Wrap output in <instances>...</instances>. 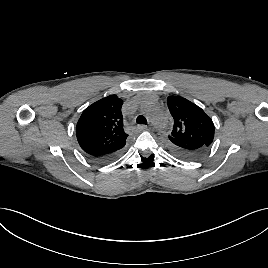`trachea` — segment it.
<instances>
[{
    "mask_svg": "<svg viewBox=\"0 0 268 268\" xmlns=\"http://www.w3.org/2000/svg\"><path fill=\"white\" fill-rule=\"evenodd\" d=\"M136 122L138 124H145V125L147 124V120H146V118L143 115H139L137 117V119H136Z\"/></svg>",
    "mask_w": 268,
    "mask_h": 268,
    "instance_id": "1",
    "label": "trachea"
}]
</instances>
